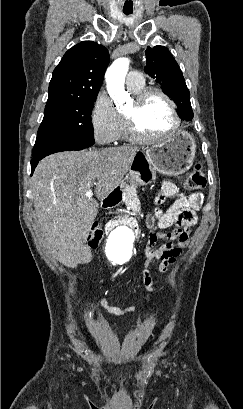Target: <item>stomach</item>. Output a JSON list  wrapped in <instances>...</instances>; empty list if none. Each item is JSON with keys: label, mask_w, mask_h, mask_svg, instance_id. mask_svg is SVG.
<instances>
[{"label": "stomach", "mask_w": 243, "mask_h": 409, "mask_svg": "<svg viewBox=\"0 0 243 409\" xmlns=\"http://www.w3.org/2000/svg\"><path fill=\"white\" fill-rule=\"evenodd\" d=\"M196 144L186 131H177L166 140L137 153L130 167V177L135 181L138 177L148 182L159 172L168 176H176L186 172L193 164Z\"/></svg>", "instance_id": "obj_1"}]
</instances>
